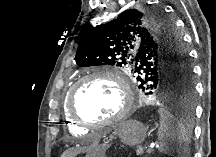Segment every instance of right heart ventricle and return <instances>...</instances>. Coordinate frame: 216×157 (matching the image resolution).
I'll use <instances>...</instances> for the list:
<instances>
[{
  "mask_svg": "<svg viewBox=\"0 0 216 157\" xmlns=\"http://www.w3.org/2000/svg\"><path fill=\"white\" fill-rule=\"evenodd\" d=\"M67 97L68 94L66 96L65 103H64V112H65V120L67 122L68 130L75 135H84L86 133L85 128L77 124L76 122H74L67 114V108H66Z\"/></svg>",
  "mask_w": 216,
  "mask_h": 157,
  "instance_id": "e07e8e85",
  "label": "right heart ventricle"
}]
</instances>
